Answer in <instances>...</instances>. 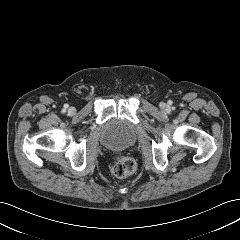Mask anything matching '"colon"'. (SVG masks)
<instances>
[{"instance_id": "obj_1", "label": "colon", "mask_w": 240, "mask_h": 240, "mask_svg": "<svg viewBox=\"0 0 240 240\" xmlns=\"http://www.w3.org/2000/svg\"><path fill=\"white\" fill-rule=\"evenodd\" d=\"M137 164L135 160L128 156H116L110 164L111 173L118 178H125L135 173Z\"/></svg>"}]
</instances>
